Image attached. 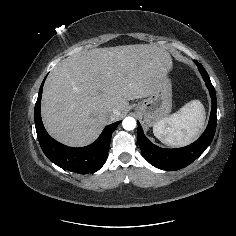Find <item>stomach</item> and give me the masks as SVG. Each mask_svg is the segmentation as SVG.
<instances>
[{
    "instance_id": "stomach-1",
    "label": "stomach",
    "mask_w": 236,
    "mask_h": 236,
    "mask_svg": "<svg viewBox=\"0 0 236 236\" xmlns=\"http://www.w3.org/2000/svg\"><path fill=\"white\" fill-rule=\"evenodd\" d=\"M172 109V84L167 75L163 76L156 89L147 98L140 101L135 110L143 116L148 126H154L167 117Z\"/></svg>"
}]
</instances>
